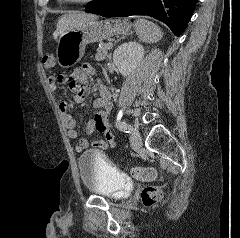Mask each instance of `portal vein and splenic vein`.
I'll return each instance as SVG.
<instances>
[{"label": "portal vein and splenic vein", "mask_w": 240, "mask_h": 238, "mask_svg": "<svg viewBox=\"0 0 240 238\" xmlns=\"http://www.w3.org/2000/svg\"><path fill=\"white\" fill-rule=\"evenodd\" d=\"M113 47V44L110 42L107 44V49H111Z\"/></svg>", "instance_id": "obj_1"}]
</instances>
